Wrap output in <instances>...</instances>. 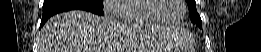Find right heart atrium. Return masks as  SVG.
<instances>
[{"mask_svg": "<svg viewBox=\"0 0 261 52\" xmlns=\"http://www.w3.org/2000/svg\"><path fill=\"white\" fill-rule=\"evenodd\" d=\"M125 1L127 0H104L102 4L104 13L110 17L123 16L121 11L117 9V6L123 4Z\"/></svg>", "mask_w": 261, "mask_h": 52, "instance_id": "1", "label": "right heart atrium"}]
</instances>
